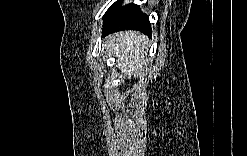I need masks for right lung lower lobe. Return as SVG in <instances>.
<instances>
[{"instance_id": "1", "label": "right lung lower lobe", "mask_w": 247, "mask_h": 156, "mask_svg": "<svg viewBox=\"0 0 247 156\" xmlns=\"http://www.w3.org/2000/svg\"><path fill=\"white\" fill-rule=\"evenodd\" d=\"M122 1L115 2L104 15L103 36L120 30H139L151 36L149 18L136 4L121 7Z\"/></svg>"}]
</instances>
